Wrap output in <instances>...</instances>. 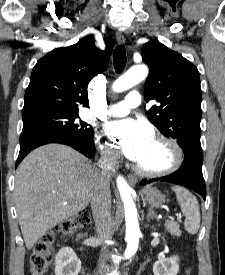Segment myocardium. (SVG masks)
<instances>
[{"label":"myocardium","instance_id":"myocardium-1","mask_svg":"<svg viewBox=\"0 0 225 275\" xmlns=\"http://www.w3.org/2000/svg\"><path fill=\"white\" fill-rule=\"evenodd\" d=\"M154 139L164 143L168 147L171 154V160L168 166L160 170H147L136 164L135 171L139 175L149 178H156L169 175L178 170L183 162V151L180 145L174 139L162 134L156 135Z\"/></svg>","mask_w":225,"mask_h":275}]
</instances>
